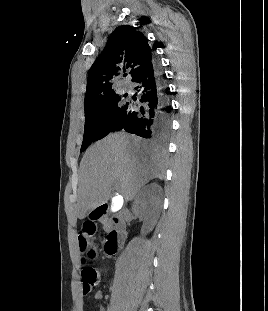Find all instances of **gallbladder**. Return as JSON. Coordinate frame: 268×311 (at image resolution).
Here are the masks:
<instances>
[{"label":"gallbladder","instance_id":"obj_1","mask_svg":"<svg viewBox=\"0 0 268 311\" xmlns=\"http://www.w3.org/2000/svg\"><path fill=\"white\" fill-rule=\"evenodd\" d=\"M124 204V199H111L108 205L111 210V214L117 213L118 210L124 206Z\"/></svg>","mask_w":268,"mask_h":311}]
</instances>
